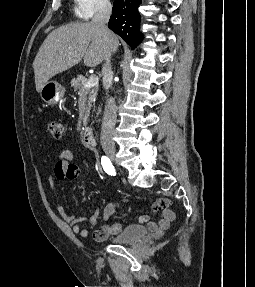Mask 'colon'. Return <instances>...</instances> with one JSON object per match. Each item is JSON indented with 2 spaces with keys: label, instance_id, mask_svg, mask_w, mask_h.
<instances>
[{
  "label": "colon",
  "instance_id": "colon-1",
  "mask_svg": "<svg viewBox=\"0 0 255 287\" xmlns=\"http://www.w3.org/2000/svg\"><path fill=\"white\" fill-rule=\"evenodd\" d=\"M48 130L54 138H60L63 133V126L58 122H50L48 124Z\"/></svg>",
  "mask_w": 255,
  "mask_h": 287
}]
</instances>
